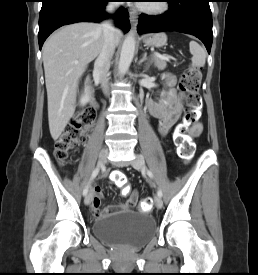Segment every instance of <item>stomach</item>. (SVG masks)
<instances>
[{
    "label": "stomach",
    "mask_w": 258,
    "mask_h": 275,
    "mask_svg": "<svg viewBox=\"0 0 258 275\" xmlns=\"http://www.w3.org/2000/svg\"><path fill=\"white\" fill-rule=\"evenodd\" d=\"M167 42L165 33H154L144 38V43L148 46L162 47Z\"/></svg>",
    "instance_id": "1"
}]
</instances>
